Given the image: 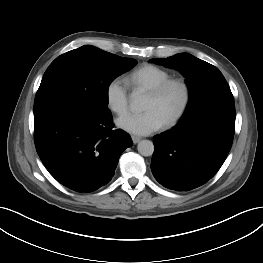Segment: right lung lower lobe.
<instances>
[{
  "instance_id": "98d812e1",
  "label": "right lung lower lobe",
  "mask_w": 263,
  "mask_h": 263,
  "mask_svg": "<svg viewBox=\"0 0 263 263\" xmlns=\"http://www.w3.org/2000/svg\"><path fill=\"white\" fill-rule=\"evenodd\" d=\"M111 113L99 115L70 105L34 113L37 153L49 173L65 187L93 192L106 185L123 151L132 146L129 134L113 130Z\"/></svg>"
}]
</instances>
